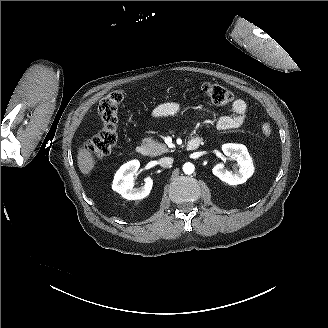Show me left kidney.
Returning a JSON list of instances; mask_svg holds the SVG:
<instances>
[{"mask_svg": "<svg viewBox=\"0 0 328 328\" xmlns=\"http://www.w3.org/2000/svg\"><path fill=\"white\" fill-rule=\"evenodd\" d=\"M222 151L224 155L237 161L239 169L229 172L224 163H218L212 169L213 175L229 185L245 183L254 169L246 147L241 144H225L222 146Z\"/></svg>", "mask_w": 328, "mask_h": 328, "instance_id": "1", "label": "left kidney"}]
</instances>
